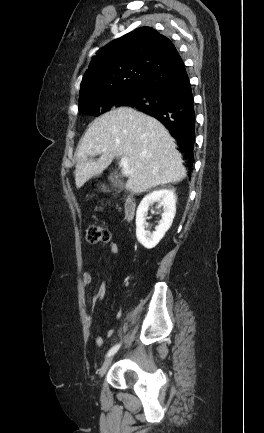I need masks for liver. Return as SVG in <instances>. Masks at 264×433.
<instances>
[{
	"instance_id": "obj_1",
	"label": "liver",
	"mask_w": 264,
	"mask_h": 433,
	"mask_svg": "<svg viewBox=\"0 0 264 433\" xmlns=\"http://www.w3.org/2000/svg\"><path fill=\"white\" fill-rule=\"evenodd\" d=\"M165 127L153 117L120 107L95 119L77 149L75 182L82 187L115 157H127L133 173L126 189L136 194L186 177L181 154ZM100 155L97 161L88 157Z\"/></svg>"
}]
</instances>
